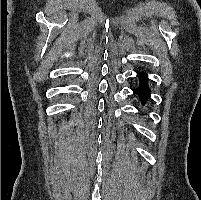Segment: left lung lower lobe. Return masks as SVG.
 <instances>
[{
    "instance_id": "obj_1",
    "label": "left lung lower lobe",
    "mask_w": 201,
    "mask_h": 200,
    "mask_svg": "<svg viewBox=\"0 0 201 200\" xmlns=\"http://www.w3.org/2000/svg\"><path fill=\"white\" fill-rule=\"evenodd\" d=\"M138 77L140 79V85L135 90V93L139 96L141 102L144 104L147 99L150 97L151 90L148 86L147 82V74L144 72L138 73Z\"/></svg>"
}]
</instances>
